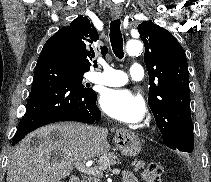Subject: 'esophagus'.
Segmentation results:
<instances>
[{
	"label": "esophagus",
	"instance_id": "34e87169",
	"mask_svg": "<svg viewBox=\"0 0 211 182\" xmlns=\"http://www.w3.org/2000/svg\"><path fill=\"white\" fill-rule=\"evenodd\" d=\"M111 14L113 18L117 19L121 15V9L120 8L113 9Z\"/></svg>",
	"mask_w": 211,
	"mask_h": 182
}]
</instances>
